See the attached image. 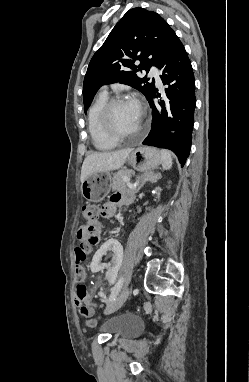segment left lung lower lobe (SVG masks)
I'll use <instances>...</instances> for the list:
<instances>
[{
  "mask_svg": "<svg viewBox=\"0 0 249 382\" xmlns=\"http://www.w3.org/2000/svg\"><path fill=\"white\" fill-rule=\"evenodd\" d=\"M160 68V78L168 87L163 95L154 87L147 97L152 128L143 144L172 150L183 165L191 148L196 98L193 69L179 38ZM153 98H159L158 103Z\"/></svg>",
  "mask_w": 249,
  "mask_h": 382,
  "instance_id": "obj_1",
  "label": "left lung lower lobe"
}]
</instances>
